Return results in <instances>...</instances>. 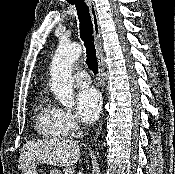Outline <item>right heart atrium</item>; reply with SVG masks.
<instances>
[{"instance_id":"right-heart-atrium-1","label":"right heart atrium","mask_w":175,"mask_h":174,"mask_svg":"<svg viewBox=\"0 0 175 174\" xmlns=\"http://www.w3.org/2000/svg\"><path fill=\"white\" fill-rule=\"evenodd\" d=\"M58 124L65 135H74L79 131V123L76 116L69 110L56 107Z\"/></svg>"}]
</instances>
